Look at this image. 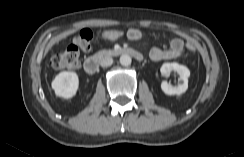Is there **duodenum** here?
Instances as JSON below:
<instances>
[{
    "instance_id": "410a0bca",
    "label": "duodenum",
    "mask_w": 244,
    "mask_h": 157,
    "mask_svg": "<svg viewBox=\"0 0 244 157\" xmlns=\"http://www.w3.org/2000/svg\"><path fill=\"white\" fill-rule=\"evenodd\" d=\"M120 55H129L134 59H136L137 61L143 60L142 53L133 48L112 49V50L102 52L99 56H92L87 58L84 62V70L89 74L96 73L99 69L101 57L103 56L116 57Z\"/></svg>"
}]
</instances>
